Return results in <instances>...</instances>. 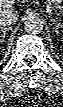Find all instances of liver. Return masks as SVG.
<instances>
[{"label": "liver", "mask_w": 63, "mask_h": 107, "mask_svg": "<svg viewBox=\"0 0 63 107\" xmlns=\"http://www.w3.org/2000/svg\"><path fill=\"white\" fill-rule=\"evenodd\" d=\"M12 1L10 0H1L0 1V11L3 9H11L14 10V8L12 7ZM15 11V10H14Z\"/></svg>", "instance_id": "6515ba94"}]
</instances>
